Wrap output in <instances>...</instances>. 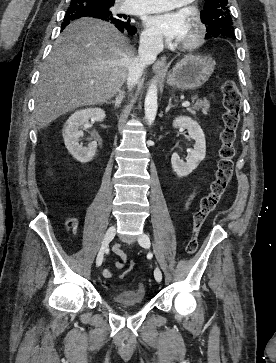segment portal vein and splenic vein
<instances>
[{
  "label": "portal vein and splenic vein",
  "mask_w": 276,
  "mask_h": 363,
  "mask_svg": "<svg viewBox=\"0 0 276 363\" xmlns=\"http://www.w3.org/2000/svg\"><path fill=\"white\" fill-rule=\"evenodd\" d=\"M182 106L183 107H188V106H190V103L188 101H185V102L182 103Z\"/></svg>",
  "instance_id": "portal-vein-and-splenic-vein-1"
}]
</instances>
